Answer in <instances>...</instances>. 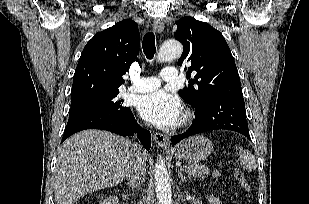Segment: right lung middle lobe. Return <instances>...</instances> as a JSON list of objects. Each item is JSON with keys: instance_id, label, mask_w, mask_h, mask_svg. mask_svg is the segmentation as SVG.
I'll list each match as a JSON object with an SVG mask.
<instances>
[{"instance_id": "right-lung-middle-lobe-1", "label": "right lung middle lobe", "mask_w": 309, "mask_h": 204, "mask_svg": "<svg viewBox=\"0 0 309 204\" xmlns=\"http://www.w3.org/2000/svg\"><path fill=\"white\" fill-rule=\"evenodd\" d=\"M118 93L119 91L71 104L69 117L85 113H105L124 118L131 110L122 106L123 100L116 98Z\"/></svg>"}]
</instances>
